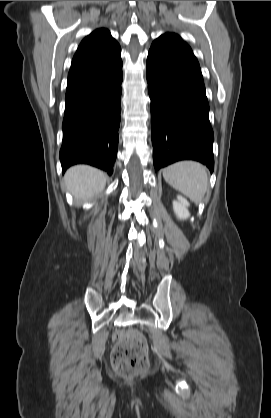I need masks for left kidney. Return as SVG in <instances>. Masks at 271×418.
Listing matches in <instances>:
<instances>
[{
	"instance_id": "1",
	"label": "left kidney",
	"mask_w": 271,
	"mask_h": 418,
	"mask_svg": "<svg viewBox=\"0 0 271 418\" xmlns=\"http://www.w3.org/2000/svg\"><path fill=\"white\" fill-rule=\"evenodd\" d=\"M189 202L182 196L178 195L177 200L173 201V210L177 218L180 220L187 219L189 217Z\"/></svg>"
}]
</instances>
